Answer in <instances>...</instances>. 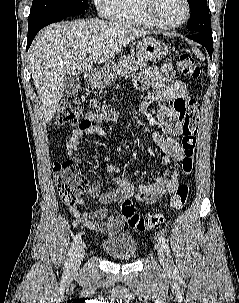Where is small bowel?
Here are the masks:
<instances>
[{"instance_id":"obj_1","label":"small bowel","mask_w":239,"mask_h":303,"mask_svg":"<svg viewBox=\"0 0 239 303\" xmlns=\"http://www.w3.org/2000/svg\"><path fill=\"white\" fill-rule=\"evenodd\" d=\"M135 86L142 91L152 89L155 99L168 103V106L158 111V121L167 129L168 134L161 135L158 132H153L151 138L163 154L161 165L167 166L173 162L179 166L184 157L181 145L180 119L185 112V102L188 99L186 85L174 79L173 68L170 64H164L140 72L135 77ZM111 118V114H100L92 111L85 114L79 125L71 132L66 143L67 154L75 163L80 164L82 161L76 155L81 137L89 134L105 137L106 132L98 124ZM106 170L114 174L121 172V168L116 165H107ZM179 179L178 169L168 176L156 174L153 183L141 184L138 187L124 177H116L113 180L115 188L107 192H102L101 183L94 181L90 188V194L104 206L91 211H81L77 206H70L69 211L77 223L112 238L122 230L125 224V219L116 209L123 200L132 199L137 202L153 204L166 193L175 192L179 185ZM107 205L114 208L110 209Z\"/></svg>"}]
</instances>
